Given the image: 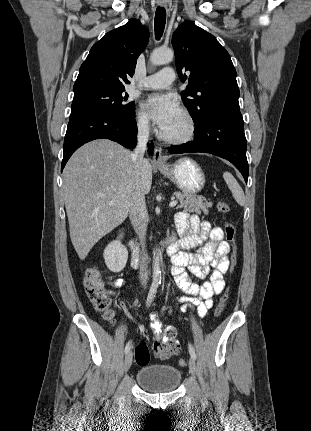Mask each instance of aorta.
I'll return each mask as SVG.
<instances>
[{
  "mask_svg": "<svg viewBox=\"0 0 311 431\" xmlns=\"http://www.w3.org/2000/svg\"><path fill=\"white\" fill-rule=\"evenodd\" d=\"M174 58L173 50H153L150 54V60L152 66H162V64H169ZM153 283L161 281V265H160V249L156 247L153 251Z\"/></svg>",
  "mask_w": 311,
  "mask_h": 431,
  "instance_id": "aorta-1",
  "label": "aorta"
}]
</instances>
